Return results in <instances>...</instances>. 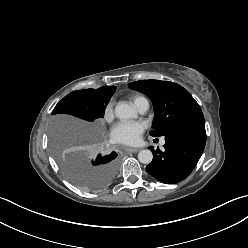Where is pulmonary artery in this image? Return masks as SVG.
I'll return each instance as SVG.
<instances>
[{
  "instance_id": "pulmonary-artery-1",
  "label": "pulmonary artery",
  "mask_w": 248,
  "mask_h": 248,
  "mask_svg": "<svg viewBox=\"0 0 248 248\" xmlns=\"http://www.w3.org/2000/svg\"><path fill=\"white\" fill-rule=\"evenodd\" d=\"M137 110L141 113L144 114L148 111L149 109V102L148 100L142 101L140 102L137 106H136ZM161 144H164V140H161Z\"/></svg>"
}]
</instances>
